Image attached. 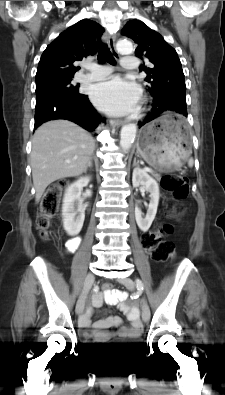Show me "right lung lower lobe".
I'll return each instance as SVG.
<instances>
[{"mask_svg": "<svg viewBox=\"0 0 225 395\" xmlns=\"http://www.w3.org/2000/svg\"><path fill=\"white\" fill-rule=\"evenodd\" d=\"M54 119H67L93 131L102 118L89 102L88 96L81 94L58 96L35 108V128Z\"/></svg>", "mask_w": 225, "mask_h": 395, "instance_id": "98d812e1", "label": "right lung lower lobe"}]
</instances>
